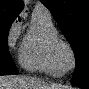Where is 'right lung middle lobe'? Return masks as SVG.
I'll list each match as a JSON object with an SVG mask.
<instances>
[{
  "label": "right lung middle lobe",
  "mask_w": 89,
  "mask_h": 89,
  "mask_svg": "<svg viewBox=\"0 0 89 89\" xmlns=\"http://www.w3.org/2000/svg\"><path fill=\"white\" fill-rule=\"evenodd\" d=\"M14 19L0 15V75L18 74L8 49V32Z\"/></svg>",
  "instance_id": "right-lung-middle-lobe-1"
}]
</instances>
